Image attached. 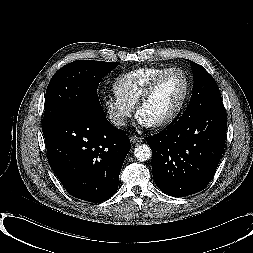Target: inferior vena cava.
<instances>
[{"label": "inferior vena cava", "instance_id": "602c4592", "mask_svg": "<svg viewBox=\"0 0 253 253\" xmlns=\"http://www.w3.org/2000/svg\"><path fill=\"white\" fill-rule=\"evenodd\" d=\"M111 122L116 126H125L126 120L123 116H111Z\"/></svg>", "mask_w": 253, "mask_h": 253}]
</instances>
